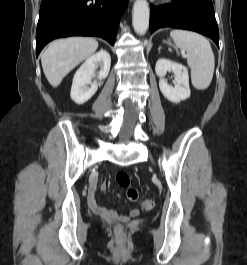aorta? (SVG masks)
I'll use <instances>...</instances> for the list:
<instances>
[{
  "label": "aorta",
  "mask_w": 247,
  "mask_h": 265,
  "mask_svg": "<svg viewBox=\"0 0 247 265\" xmlns=\"http://www.w3.org/2000/svg\"><path fill=\"white\" fill-rule=\"evenodd\" d=\"M132 24L138 35H144L149 27V6L146 0H136L133 5Z\"/></svg>",
  "instance_id": "aorta-1"
}]
</instances>
